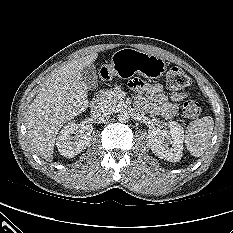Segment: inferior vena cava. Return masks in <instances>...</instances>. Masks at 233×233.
Wrapping results in <instances>:
<instances>
[{"mask_svg": "<svg viewBox=\"0 0 233 233\" xmlns=\"http://www.w3.org/2000/svg\"><path fill=\"white\" fill-rule=\"evenodd\" d=\"M113 109L106 103H99L91 111V115L97 119L108 118L112 115Z\"/></svg>", "mask_w": 233, "mask_h": 233, "instance_id": "602c4592", "label": "inferior vena cava"}]
</instances>
